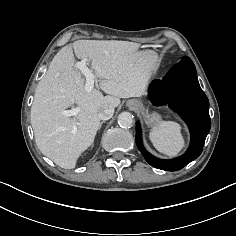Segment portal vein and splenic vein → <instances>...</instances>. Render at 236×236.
Segmentation results:
<instances>
[{
    "label": "portal vein and splenic vein",
    "mask_w": 236,
    "mask_h": 236,
    "mask_svg": "<svg viewBox=\"0 0 236 236\" xmlns=\"http://www.w3.org/2000/svg\"><path fill=\"white\" fill-rule=\"evenodd\" d=\"M75 68L79 69L86 78L85 90L88 92L92 91L94 88L95 76L92 73V70L87 67V60L84 59L80 62H76ZM78 112L79 108H72L70 110H63L61 113L64 116L70 117L76 116Z\"/></svg>",
    "instance_id": "portal-vein-and-splenic-vein-1"
}]
</instances>
